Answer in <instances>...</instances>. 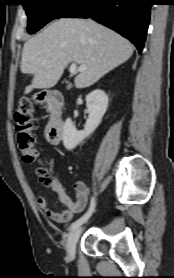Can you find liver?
I'll use <instances>...</instances> for the list:
<instances>
[{
    "mask_svg": "<svg viewBox=\"0 0 174 278\" xmlns=\"http://www.w3.org/2000/svg\"><path fill=\"white\" fill-rule=\"evenodd\" d=\"M132 54L127 39L91 19L60 18L24 44L21 72L33 75L25 93L54 87L70 62L87 67L75 87H89Z\"/></svg>",
    "mask_w": 174,
    "mask_h": 278,
    "instance_id": "6515ba94",
    "label": "liver"
}]
</instances>
